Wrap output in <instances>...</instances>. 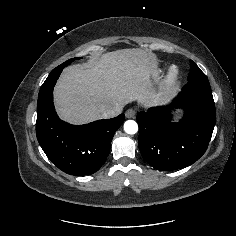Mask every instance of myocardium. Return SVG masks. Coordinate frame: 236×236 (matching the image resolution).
I'll use <instances>...</instances> for the list:
<instances>
[{"label":"myocardium","instance_id":"obj_1","mask_svg":"<svg viewBox=\"0 0 236 236\" xmlns=\"http://www.w3.org/2000/svg\"><path fill=\"white\" fill-rule=\"evenodd\" d=\"M178 76H179L178 69L176 67H172L168 75V82L174 83L178 79Z\"/></svg>","mask_w":236,"mask_h":236}]
</instances>
